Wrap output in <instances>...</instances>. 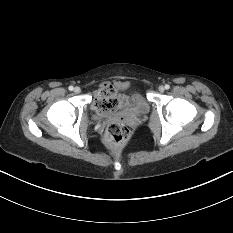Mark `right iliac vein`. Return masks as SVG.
Segmentation results:
<instances>
[{"mask_svg":"<svg viewBox=\"0 0 233 233\" xmlns=\"http://www.w3.org/2000/svg\"><path fill=\"white\" fill-rule=\"evenodd\" d=\"M74 92H75L76 94H79V93L81 92L80 87H75V88H74Z\"/></svg>","mask_w":233,"mask_h":233,"instance_id":"right-iliac-vein-1","label":"right iliac vein"}]
</instances>
